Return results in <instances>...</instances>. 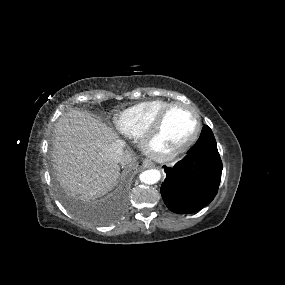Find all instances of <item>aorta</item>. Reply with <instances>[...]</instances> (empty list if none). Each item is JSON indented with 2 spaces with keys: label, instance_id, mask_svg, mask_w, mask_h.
Returning a JSON list of instances; mask_svg holds the SVG:
<instances>
[{
  "label": "aorta",
  "instance_id": "762f6f07",
  "mask_svg": "<svg viewBox=\"0 0 285 285\" xmlns=\"http://www.w3.org/2000/svg\"><path fill=\"white\" fill-rule=\"evenodd\" d=\"M160 178L161 173L157 169L146 170L139 175L140 181L145 184H155L160 180Z\"/></svg>",
  "mask_w": 285,
  "mask_h": 285
}]
</instances>
